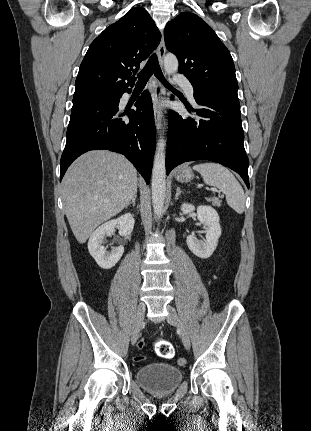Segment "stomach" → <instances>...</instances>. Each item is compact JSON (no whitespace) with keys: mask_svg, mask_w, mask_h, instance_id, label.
<instances>
[{"mask_svg":"<svg viewBox=\"0 0 311 431\" xmlns=\"http://www.w3.org/2000/svg\"><path fill=\"white\" fill-rule=\"evenodd\" d=\"M175 180L180 182V184H188V182H192V180H194L193 170L188 168V166H181V168L177 170Z\"/></svg>","mask_w":311,"mask_h":431,"instance_id":"0dacf381","label":"stomach"}]
</instances>
